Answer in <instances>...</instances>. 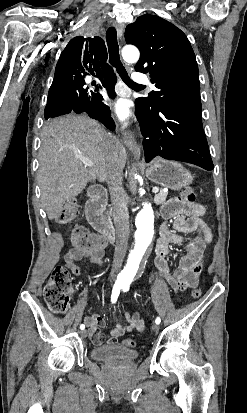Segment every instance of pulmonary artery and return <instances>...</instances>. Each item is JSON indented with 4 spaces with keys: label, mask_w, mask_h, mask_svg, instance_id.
I'll return each mask as SVG.
<instances>
[{
    "label": "pulmonary artery",
    "mask_w": 247,
    "mask_h": 413,
    "mask_svg": "<svg viewBox=\"0 0 247 413\" xmlns=\"http://www.w3.org/2000/svg\"><path fill=\"white\" fill-rule=\"evenodd\" d=\"M134 81H136V85L141 87L144 85V83L146 82L150 88L155 89V84L151 82L150 77L149 76H144L143 74H140V70H134ZM86 82L89 83L90 79L89 77L86 78Z\"/></svg>",
    "instance_id": "1"
}]
</instances>
